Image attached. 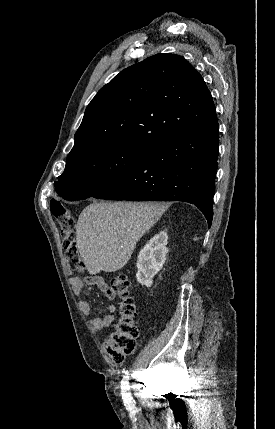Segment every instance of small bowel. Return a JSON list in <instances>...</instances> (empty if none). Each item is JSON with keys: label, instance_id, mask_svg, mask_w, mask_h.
Returning a JSON list of instances; mask_svg holds the SVG:
<instances>
[{"label": "small bowel", "instance_id": "obj_1", "mask_svg": "<svg viewBox=\"0 0 275 429\" xmlns=\"http://www.w3.org/2000/svg\"><path fill=\"white\" fill-rule=\"evenodd\" d=\"M70 284L77 296L82 295L84 285H90L97 286L98 288H100L107 296V298H115V294L112 292L110 286L105 282L103 277L99 275H90L84 278L77 275H72L70 277ZM79 308L81 312L85 315H89L92 312V306L86 300H81L79 302ZM115 314L116 307L114 305H109L108 313L104 315L93 316L90 319V324L95 330H103L105 328H108L113 323L115 319Z\"/></svg>", "mask_w": 275, "mask_h": 429}]
</instances>
